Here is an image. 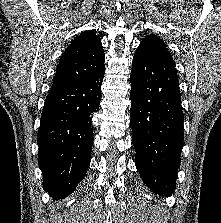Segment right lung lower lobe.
I'll return each mask as SVG.
<instances>
[{"instance_id": "98d812e1", "label": "right lung lower lobe", "mask_w": 221, "mask_h": 223, "mask_svg": "<svg viewBox=\"0 0 221 223\" xmlns=\"http://www.w3.org/2000/svg\"><path fill=\"white\" fill-rule=\"evenodd\" d=\"M104 68L87 79L50 91L37 135L43 187L54 198L73 192L90 165L93 113L99 109Z\"/></svg>"}]
</instances>
